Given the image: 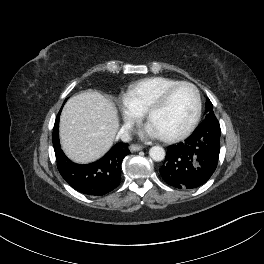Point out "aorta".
Segmentation results:
<instances>
[{
    "label": "aorta",
    "instance_id": "obj_1",
    "mask_svg": "<svg viewBox=\"0 0 264 264\" xmlns=\"http://www.w3.org/2000/svg\"><path fill=\"white\" fill-rule=\"evenodd\" d=\"M149 156L152 160L160 162L165 158V150L161 146H153L149 150Z\"/></svg>",
    "mask_w": 264,
    "mask_h": 264
}]
</instances>
